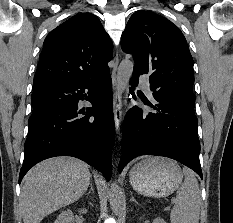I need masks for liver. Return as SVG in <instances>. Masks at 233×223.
<instances>
[{"label": "liver", "mask_w": 233, "mask_h": 223, "mask_svg": "<svg viewBox=\"0 0 233 223\" xmlns=\"http://www.w3.org/2000/svg\"><path fill=\"white\" fill-rule=\"evenodd\" d=\"M91 173L76 157L44 159L24 177L19 205L24 223H40L45 215L77 201L87 191Z\"/></svg>", "instance_id": "liver-1"}]
</instances>
